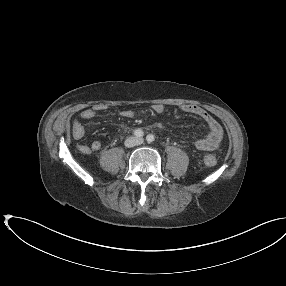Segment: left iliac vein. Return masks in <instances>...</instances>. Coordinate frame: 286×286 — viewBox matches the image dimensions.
<instances>
[{
    "label": "left iliac vein",
    "instance_id": "left-iliac-vein-1",
    "mask_svg": "<svg viewBox=\"0 0 286 286\" xmlns=\"http://www.w3.org/2000/svg\"><path fill=\"white\" fill-rule=\"evenodd\" d=\"M143 142H144V139H142V138H139V139H137V145H141V144H143Z\"/></svg>",
    "mask_w": 286,
    "mask_h": 286
}]
</instances>
